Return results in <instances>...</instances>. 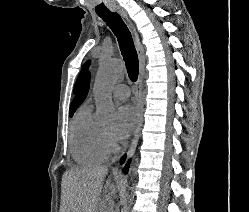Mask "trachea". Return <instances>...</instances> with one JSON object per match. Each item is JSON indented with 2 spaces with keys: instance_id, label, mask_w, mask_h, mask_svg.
I'll list each match as a JSON object with an SVG mask.
<instances>
[{
  "instance_id": "1",
  "label": "trachea",
  "mask_w": 249,
  "mask_h": 212,
  "mask_svg": "<svg viewBox=\"0 0 249 212\" xmlns=\"http://www.w3.org/2000/svg\"><path fill=\"white\" fill-rule=\"evenodd\" d=\"M97 15H99V17H101L102 20L106 22L108 27L111 28L112 32L117 37L119 47L125 61L128 76L132 82H136L139 69L138 56L134 47L132 35L129 32L128 27L125 25L120 15L115 11L98 13Z\"/></svg>"
}]
</instances>
